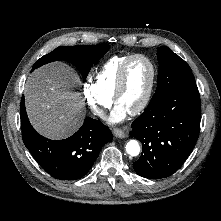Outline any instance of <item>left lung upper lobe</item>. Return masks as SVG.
Segmentation results:
<instances>
[{
  "instance_id": "obj_1",
  "label": "left lung upper lobe",
  "mask_w": 221,
  "mask_h": 221,
  "mask_svg": "<svg viewBox=\"0 0 221 221\" xmlns=\"http://www.w3.org/2000/svg\"><path fill=\"white\" fill-rule=\"evenodd\" d=\"M158 83L151 100L160 99L176 88L196 84L189 65L167 47L158 48Z\"/></svg>"
}]
</instances>
